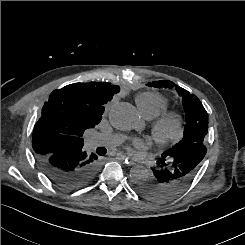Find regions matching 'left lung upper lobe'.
Instances as JSON below:
<instances>
[{
	"instance_id": "left-lung-upper-lobe-1",
	"label": "left lung upper lobe",
	"mask_w": 245,
	"mask_h": 245,
	"mask_svg": "<svg viewBox=\"0 0 245 245\" xmlns=\"http://www.w3.org/2000/svg\"><path fill=\"white\" fill-rule=\"evenodd\" d=\"M149 87L156 88H173L176 87L177 92L182 97L186 113V125L183 133V139L172 148L166 150L162 157H165L180 148L192 144H204V138L208 130V114L200 100L187 90L175 86L172 81H155L147 84Z\"/></svg>"
}]
</instances>
